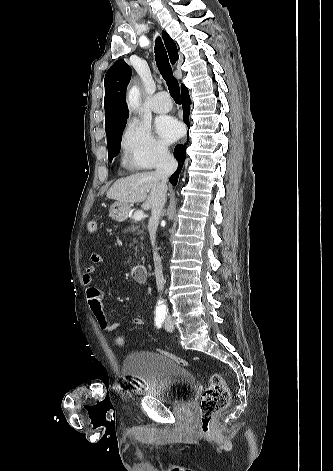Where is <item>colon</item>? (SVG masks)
<instances>
[{
    "mask_svg": "<svg viewBox=\"0 0 333 471\" xmlns=\"http://www.w3.org/2000/svg\"><path fill=\"white\" fill-rule=\"evenodd\" d=\"M88 231L95 233L98 229V223L96 220H91L87 224ZM114 343L118 347H124L126 339L121 334L114 336ZM159 353L172 359L181 366H188L189 363L186 359L170 353L165 350H160ZM209 384L205 389L200 404V419L199 425L203 432L209 433L212 431L215 417L218 413L224 410L230 402V391L223 379V377L217 373L208 374Z\"/></svg>",
    "mask_w": 333,
    "mask_h": 471,
    "instance_id": "colon-1",
    "label": "colon"
}]
</instances>
